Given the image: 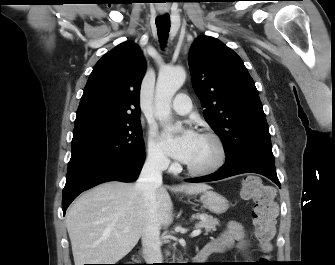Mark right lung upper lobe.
<instances>
[{
  "label": "right lung upper lobe",
  "mask_w": 335,
  "mask_h": 265,
  "mask_svg": "<svg viewBox=\"0 0 335 265\" xmlns=\"http://www.w3.org/2000/svg\"><path fill=\"white\" fill-rule=\"evenodd\" d=\"M145 60L139 47L123 42L94 66L77 110L75 128L139 120Z\"/></svg>",
  "instance_id": "cb5924a9"
}]
</instances>
